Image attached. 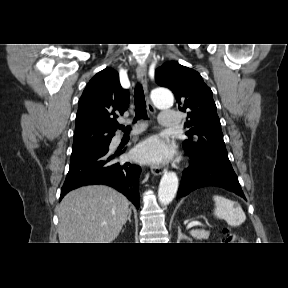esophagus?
I'll return each instance as SVG.
<instances>
[{"instance_id": "1", "label": "esophagus", "mask_w": 288, "mask_h": 288, "mask_svg": "<svg viewBox=\"0 0 288 288\" xmlns=\"http://www.w3.org/2000/svg\"><path fill=\"white\" fill-rule=\"evenodd\" d=\"M136 74H137V78L140 81V83L143 86V89L147 95V108L149 110V112L151 113H155V107L153 106V104L151 103L149 97H148V86H147V69L145 65H139L136 69ZM151 172L156 175L159 176L164 172V169L160 166H156V165H152L151 166Z\"/></svg>"}]
</instances>
